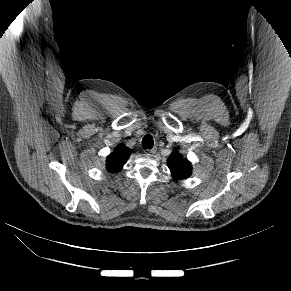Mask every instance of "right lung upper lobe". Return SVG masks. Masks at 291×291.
I'll use <instances>...</instances> for the list:
<instances>
[{"label": "right lung upper lobe", "mask_w": 291, "mask_h": 291, "mask_svg": "<svg viewBox=\"0 0 291 291\" xmlns=\"http://www.w3.org/2000/svg\"><path fill=\"white\" fill-rule=\"evenodd\" d=\"M132 149L127 148L125 145H118L115 150L107 157L106 168L111 173L120 171L123 165L127 162Z\"/></svg>", "instance_id": "1"}]
</instances>
